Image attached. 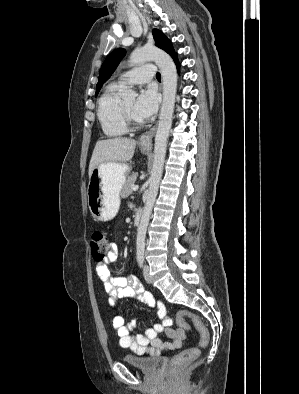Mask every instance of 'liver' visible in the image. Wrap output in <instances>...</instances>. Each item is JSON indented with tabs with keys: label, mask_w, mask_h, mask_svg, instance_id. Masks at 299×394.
I'll list each match as a JSON object with an SVG mask.
<instances>
[{
	"label": "liver",
	"mask_w": 299,
	"mask_h": 394,
	"mask_svg": "<svg viewBox=\"0 0 299 394\" xmlns=\"http://www.w3.org/2000/svg\"><path fill=\"white\" fill-rule=\"evenodd\" d=\"M136 141L134 139L117 137L98 140L89 164V176L93 169L102 163H124L132 159Z\"/></svg>",
	"instance_id": "6515ba94"
}]
</instances>
